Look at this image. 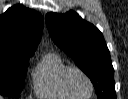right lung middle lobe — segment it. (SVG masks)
<instances>
[{"label": "right lung middle lobe", "instance_id": "dd1d6c3e", "mask_svg": "<svg viewBox=\"0 0 128 99\" xmlns=\"http://www.w3.org/2000/svg\"><path fill=\"white\" fill-rule=\"evenodd\" d=\"M31 55L0 53V94L19 97Z\"/></svg>", "mask_w": 128, "mask_h": 99}]
</instances>
